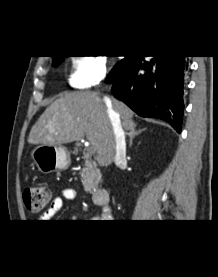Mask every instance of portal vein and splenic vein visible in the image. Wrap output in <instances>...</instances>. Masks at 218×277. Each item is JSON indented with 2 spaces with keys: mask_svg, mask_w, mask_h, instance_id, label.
I'll return each mask as SVG.
<instances>
[{
  "mask_svg": "<svg viewBox=\"0 0 218 277\" xmlns=\"http://www.w3.org/2000/svg\"><path fill=\"white\" fill-rule=\"evenodd\" d=\"M94 152H95V150H94V148L92 146H88L87 147V153H88V155H92V154H94Z\"/></svg>",
  "mask_w": 218,
  "mask_h": 277,
  "instance_id": "1",
  "label": "portal vein and splenic vein"
}]
</instances>
